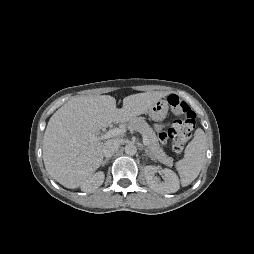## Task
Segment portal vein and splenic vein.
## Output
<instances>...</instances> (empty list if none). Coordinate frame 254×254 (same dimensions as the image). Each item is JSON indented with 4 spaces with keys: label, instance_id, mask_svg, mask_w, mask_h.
Returning <instances> with one entry per match:
<instances>
[{
    "label": "portal vein and splenic vein",
    "instance_id": "18ae733b",
    "mask_svg": "<svg viewBox=\"0 0 254 254\" xmlns=\"http://www.w3.org/2000/svg\"><path fill=\"white\" fill-rule=\"evenodd\" d=\"M126 132L125 129H122V128H113L111 130H109L106 134L100 136V137H97L95 135L91 136L90 139L92 141H96V140H99V139H109V138H112V137H116V136H119V135H122ZM143 143L145 146L148 145V138L147 136L143 133Z\"/></svg>",
    "mask_w": 254,
    "mask_h": 254
}]
</instances>
